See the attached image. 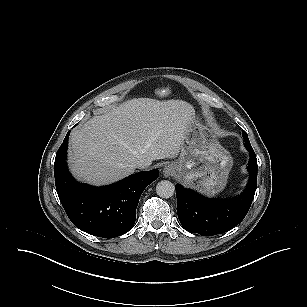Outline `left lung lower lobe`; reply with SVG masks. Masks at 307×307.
Returning <instances> with one entry per match:
<instances>
[{"mask_svg": "<svg viewBox=\"0 0 307 307\" xmlns=\"http://www.w3.org/2000/svg\"><path fill=\"white\" fill-rule=\"evenodd\" d=\"M248 171L249 181L243 193L233 199L215 200L176 185L177 213L182 227L202 236L222 234L239 223L246 216L253 201L257 186V159L251 146Z\"/></svg>", "mask_w": 307, "mask_h": 307, "instance_id": "0a47b994", "label": "left lung lower lobe"}]
</instances>
